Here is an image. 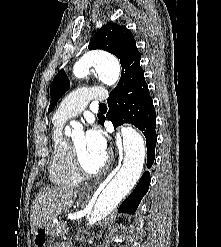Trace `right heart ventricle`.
I'll list each match as a JSON object with an SVG mask.
<instances>
[{
  "instance_id": "1",
  "label": "right heart ventricle",
  "mask_w": 221,
  "mask_h": 247,
  "mask_svg": "<svg viewBox=\"0 0 221 247\" xmlns=\"http://www.w3.org/2000/svg\"><path fill=\"white\" fill-rule=\"evenodd\" d=\"M62 126V122L54 120L48 174L50 180L56 185L76 186L82 178L75 168L69 142L63 135Z\"/></svg>"
}]
</instances>
